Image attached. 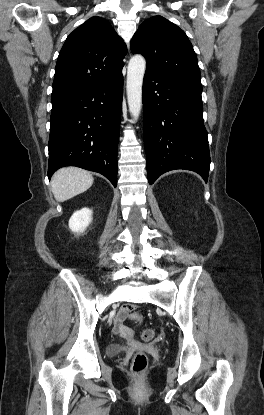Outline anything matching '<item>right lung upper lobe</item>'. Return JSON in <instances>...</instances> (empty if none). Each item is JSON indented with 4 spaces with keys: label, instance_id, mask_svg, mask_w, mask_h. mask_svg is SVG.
<instances>
[{
    "label": "right lung upper lobe",
    "instance_id": "obj_1",
    "mask_svg": "<svg viewBox=\"0 0 264 415\" xmlns=\"http://www.w3.org/2000/svg\"><path fill=\"white\" fill-rule=\"evenodd\" d=\"M127 53L111 24L88 19L66 39L57 59L52 96L113 80L122 74Z\"/></svg>",
    "mask_w": 264,
    "mask_h": 415
}]
</instances>
